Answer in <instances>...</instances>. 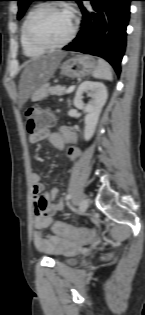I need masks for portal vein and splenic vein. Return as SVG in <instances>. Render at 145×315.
<instances>
[{"instance_id": "obj_1", "label": "portal vein and splenic vein", "mask_w": 145, "mask_h": 315, "mask_svg": "<svg viewBox=\"0 0 145 315\" xmlns=\"http://www.w3.org/2000/svg\"><path fill=\"white\" fill-rule=\"evenodd\" d=\"M75 89V86H70L67 90L66 93H71Z\"/></svg>"}]
</instances>
